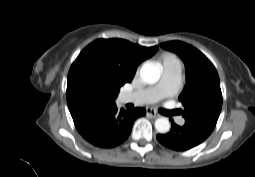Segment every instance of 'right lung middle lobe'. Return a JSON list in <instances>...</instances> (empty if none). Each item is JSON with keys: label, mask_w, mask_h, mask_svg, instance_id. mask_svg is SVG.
<instances>
[{"label": "right lung middle lobe", "mask_w": 255, "mask_h": 177, "mask_svg": "<svg viewBox=\"0 0 255 177\" xmlns=\"http://www.w3.org/2000/svg\"><path fill=\"white\" fill-rule=\"evenodd\" d=\"M69 77L83 86L92 100L115 103L120 85L113 78L109 66L96 56H78L70 68Z\"/></svg>", "instance_id": "obj_1"}]
</instances>
